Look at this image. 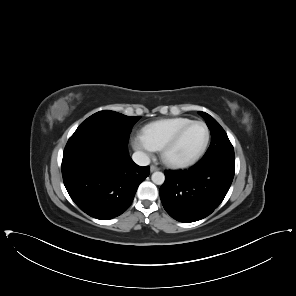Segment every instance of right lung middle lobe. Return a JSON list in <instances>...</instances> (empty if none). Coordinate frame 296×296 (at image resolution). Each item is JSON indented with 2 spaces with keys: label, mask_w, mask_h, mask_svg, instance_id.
<instances>
[{
  "label": "right lung middle lobe",
  "mask_w": 296,
  "mask_h": 296,
  "mask_svg": "<svg viewBox=\"0 0 296 296\" xmlns=\"http://www.w3.org/2000/svg\"><path fill=\"white\" fill-rule=\"evenodd\" d=\"M138 120L139 117L136 116H125L114 111H100L82 122L72 136L97 134L128 142L132 127Z\"/></svg>",
  "instance_id": "dd1d6c3e"
}]
</instances>
